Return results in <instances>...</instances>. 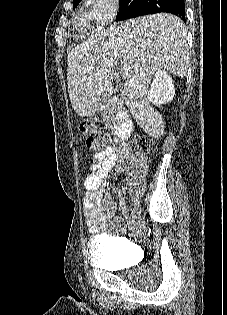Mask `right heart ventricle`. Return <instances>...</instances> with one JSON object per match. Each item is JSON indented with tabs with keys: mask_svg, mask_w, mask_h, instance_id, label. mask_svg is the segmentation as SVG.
Segmentation results:
<instances>
[{
	"mask_svg": "<svg viewBox=\"0 0 227 315\" xmlns=\"http://www.w3.org/2000/svg\"><path fill=\"white\" fill-rule=\"evenodd\" d=\"M74 23L78 31L85 33L91 30L93 22L89 12L84 9H80L75 14Z\"/></svg>",
	"mask_w": 227,
	"mask_h": 315,
	"instance_id": "e07e8e85",
	"label": "right heart ventricle"
}]
</instances>
